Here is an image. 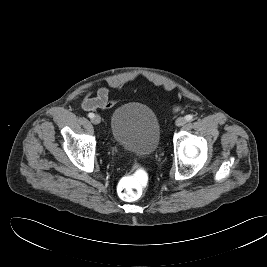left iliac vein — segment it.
Listing matches in <instances>:
<instances>
[{
    "label": "left iliac vein",
    "instance_id": "left-iliac-vein-1",
    "mask_svg": "<svg viewBox=\"0 0 267 267\" xmlns=\"http://www.w3.org/2000/svg\"><path fill=\"white\" fill-rule=\"evenodd\" d=\"M185 123L186 119L184 117H179L175 122L176 126L178 127L183 126Z\"/></svg>",
    "mask_w": 267,
    "mask_h": 267
}]
</instances>
